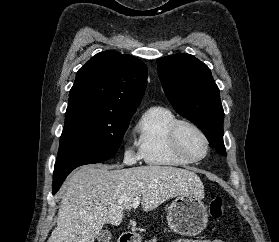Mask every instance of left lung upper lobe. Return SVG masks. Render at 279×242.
I'll return each instance as SVG.
<instances>
[{"label": "left lung upper lobe", "mask_w": 279, "mask_h": 242, "mask_svg": "<svg viewBox=\"0 0 279 242\" xmlns=\"http://www.w3.org/2000/svg\"><path fill=\"white\" fill-rule=\"evenodd\" d=\"M158 74L173 108L203 131L211 147L226 155L224 111L207 65L190 54L178 53L159 60Z\"/></svg>", "instance_id": "5c2ea615"}]
</instances>
